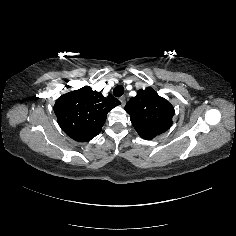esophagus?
I'll list each match as a JSON object with an SVG mask.
<instances>
[{
	"instance_id": "1",
	"label": "esophagus",
	"mask_w": 236,
	"mask_h": 236,
	"mask_svg": "<svg viewBox=\"0 0 236 236\" xmlns=\"http://www.w3.org/2000/svg\"><path fill=\"white\" fill-rule=\"evenodd\" d=\"M119 100H120V102H121V105H122V106H125V104H126V98H125V96H121V97L119 98Z\"/></svg>"
}]
</instances>
